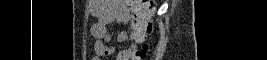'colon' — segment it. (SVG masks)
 Listing matches in <instances>:
<instances>
[{"label":"colon","instance_id":"colon-1","mask_svg":"<svg viewBox=\"0 0 267 60\" xmlns=\"http://www.w3.org/2000/svg\"><path fill=\"white\" fill-rule=\"evenodd\" d=\"M130 9L135 29L140 33V45L134 48V59H144L149 45L148 36L153 32L155 13L154 1L152 0H126Z\"/></svg>","mask_w":267,"mask_h":60}]
</instances>
